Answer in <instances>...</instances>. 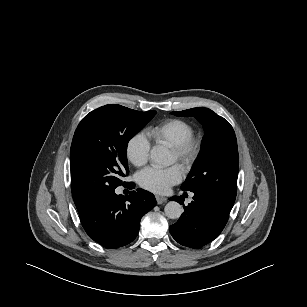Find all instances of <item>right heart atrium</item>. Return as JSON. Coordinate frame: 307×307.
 I'll use <instances>...</instances> for the list:
<instances>
[{"instance_id":"obj_1","label":"right heart atrium","mask_w":307,"mask_h":307,"mask_svg":"<svg viewBox=\"0 0 307 307\" xmlns=\"http://www.w3.org/2000/svg\"><path fill=\"white\" fill-rule=\"evenodd\" d=\"M151 145L143 134L132 136L126 145L127 159L136 167L144 166L150 155Z\"/></svg>"}]
</instances>
